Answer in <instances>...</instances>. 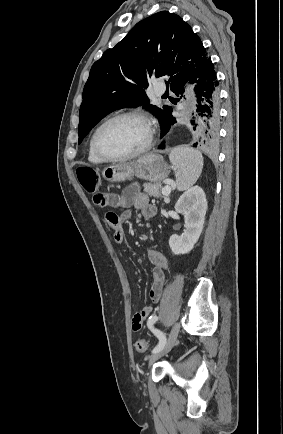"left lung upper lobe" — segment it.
Wrapping results in <instances>:
<instances>
[{
  "label": "left lung upper lobe",
  "mask_w": 283,
  "mask_h": 434,
  "mask_svg": "<svg viewBox=\"0 0 283 434\" xmlns=\"http://www.w3.org/2000/svg\"><path fill=\"white\" fill-rule=\"evenodd\" d=\"M208 58L198 35L177 14L161 11L140 21L93 64L83 90L78 143L102 118L125 107L143 105L163 130L172 108L150 104L145 92L150 79L165 77L174 87Z\"/></svg>",
  "instance_id": "obj_1"
}]
</instances>
